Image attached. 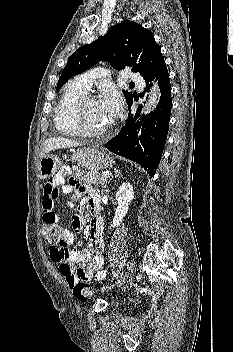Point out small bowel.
Listing matches in <instances>:
<instances>
[{
	"instance_id": "1",
	"label": "small bowel",
	"mask_w": 233,
	"mask_h": 352,
	"mask_svg": "<svg viewBox=\"0 0 233 352\" xmlns=\"http://www.w3.org/2000/svg\"><path fill=\"white\" fill-rule=\"evenodd\" d=\"M69 179V184L66 180ZM74 191V198L81 204L88 203L91 208V225L89 232V244L84 250H68L75 239V232L85 227V219L79 210L71 216L72 230L59 225V218L54 212V200L60 194H68ZM97 196L89 186L81 184L71 176V170L67 166L61 167L57 174L46 180L43 188V214L44 224L56 225L62 228L65 244L63 246H51L48 250L51 260L58 265L60 273L72 288L78 282L91 279L103 280L106 277L104 269L105 240L103 237V218L97 210Z\"/></svg>"
}]
</instances>
